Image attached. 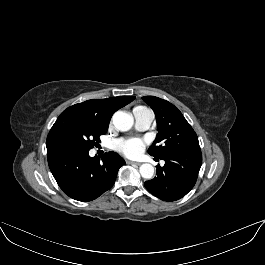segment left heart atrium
<instances>
[{
	"label": "left heart atrium",
	"instance_id": "obj_1",
	"mask_svg": "<svg viewBox=\"0 0 265 265\" xmlns=\"http://www.w3.org/2000/svg\"><path fill=\"white\" fill-rule=\"evenodd\" d=\"M116 148L128 157H135L143 151L144 143L137 138L121 139L116 142Z\"/></svg>",
	"mask_w": 265,
	"mask_h": 265
}]
</instances>
